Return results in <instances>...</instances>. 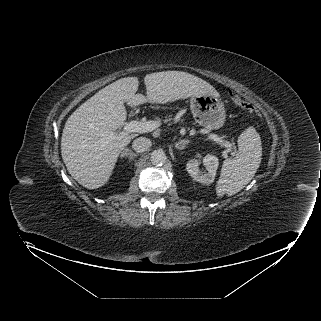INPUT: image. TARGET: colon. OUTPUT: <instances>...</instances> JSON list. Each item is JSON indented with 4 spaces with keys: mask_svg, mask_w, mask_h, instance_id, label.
Masks as SVG:
<instances>
[{
    "mask_svg": "<svg viewBox=\"0 0 321 321\" xmlns=\"http://www.w3.org/2000/svg\"><path fill=\"white\" fill-rule=\"evenodd\" d=\"M232 101L239 107H242L244 109H248L250 111H254L255 107L251 105L250 103L244 101L242 98H240L238 95L235 93L231 92L230 93Z\"/></svg>",
    "mask_w": 321,
    "mask_h": 321,
    "instance_id": "colon-1",
    "label": "colon"
}]
</instances>
